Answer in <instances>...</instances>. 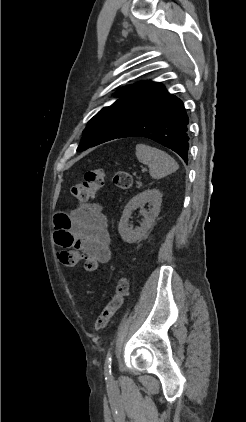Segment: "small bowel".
<instances>
[{
  "label": "small bowel",
  "mask_w": 246,
  "mask_h": 422,
  "mask_svg": "<svg viewBox=\"0 0 246 422\" xmlns=\"http://www.w3.org/2000/svg\"><path fill=\"white\" fill-rule=\"evenodd\" d=\"M55 227V242L63 250H76L102 264L110 261V236L101 205L84 204L69 215L58 213Z\"/></svg>",
  "instance_id": "small-bowel-1"
}]
</instances>
